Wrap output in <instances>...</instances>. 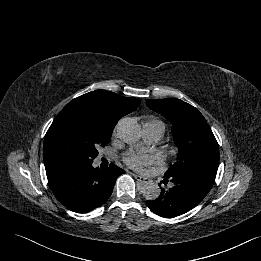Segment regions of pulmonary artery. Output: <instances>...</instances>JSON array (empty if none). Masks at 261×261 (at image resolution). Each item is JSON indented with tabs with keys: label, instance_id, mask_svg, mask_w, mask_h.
<instances>
[{
	"label": "pulmonary artery",
	"instance_id": "obj_1",
	"mask_svg": "<svg viewBox=\"0 0 261 261\" xmlns=\"http://www.w3.org/2000/svg\"><path fill=\"white\" fill-rule=\"evenodd\" d=\"M164 132V126L160 121H149L143 125V138L149 143L158 142Z\"/></svg>",
	"mask_w": 261,
	"mask_h": 261
}]
</instances>
